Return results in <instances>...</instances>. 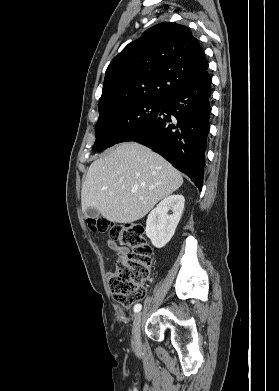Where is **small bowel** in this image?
<instances>
[{
    "mask_svg": "<svg viewBox=\"0 0 279 391\" xmlns=\"http://www.w3.org/2000/svg\"><path fill=\"white\" fill-rule=\"evenodd\" d=\"M107 244L109 248L115 251L119 257L125 256L128 252L127 248L121 247L114 240H109Z\"/></svg>",
    "mask_w": 279,
    "mask_h": 391,
    "instance_id": "1",
    "label": "small bowel"
}]
</instances>
